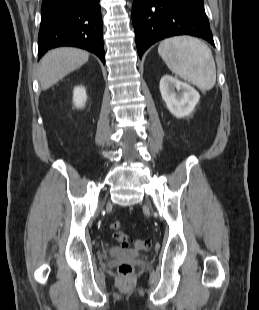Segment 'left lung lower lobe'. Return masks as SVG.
<instances>
[{"instance_id":"obj_1","label":"left lung lower lobe","mask_w":259,"mask_h":310,"mask_svg":"<svg viewBox=\"0 0 259 310\" xmlns=\"http://www.w3.org/2000/svg\"><path fill=\"white\" fill-rule=\"evenodd\" d=\"M132 21L140 58L155 42L192 35L214 46L203 0H134Z\"/></svg>"}]
</instances>
